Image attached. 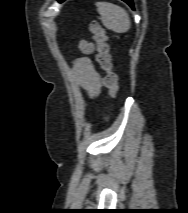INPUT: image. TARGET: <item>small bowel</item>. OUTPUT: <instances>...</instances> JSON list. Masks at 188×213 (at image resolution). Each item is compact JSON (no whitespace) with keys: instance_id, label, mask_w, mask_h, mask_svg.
<instances>
[{"instance_id":"c3829d8e","label":"small bowel","mask_w":188,"mask_h":213,"mask_svg":"<svg viewBox=\"0 0 188 213\" xmlns=\"http://www.w3.org/2000/svg\"><path fill=\"white\" fill-rule=\"evenodd\" d=\"M79 48L82 55L76 57L72 63L74 77L88 97L95 98L103 87V80L89 57L94 52V44L82 40Z\"/></svg>"}]
</instances>
